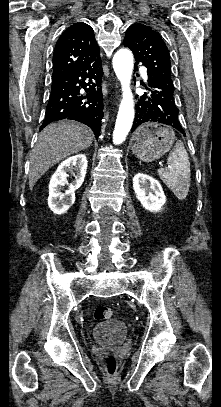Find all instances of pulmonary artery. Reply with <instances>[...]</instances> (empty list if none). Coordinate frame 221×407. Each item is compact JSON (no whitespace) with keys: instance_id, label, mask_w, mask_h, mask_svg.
<instances>
[{"instance_id":"1","label":"pulmonary artery","mask_w":221,"mask_h":407,"mask_svg":"<svg viewBox=\"0 0 221 407\" xmlns=\"http://www.w3.org/2000/svg\"><path fill=\"white\" fill-rule=\"evenodd\" d=\"M142 73H143L144 76H146V71H145V69H142Z\"/></svg>"}]
</instances>
